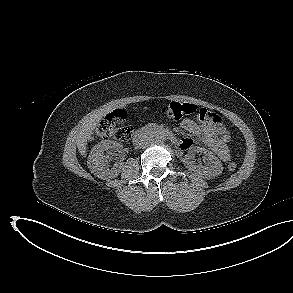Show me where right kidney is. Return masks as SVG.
Segmentation results:
<instances>
[{"mask_svg": "<svg viewBox=\"0 0 293 293\" xmlns=\"http://www.w3.org/2000/svg\"><path fill=\"white\" fill-rule=\"evenodd\" d=\"M121 148L122 145L120 143L108 140L101 141L95 145L92 148L87 161L91 173L100 179L115 178L118 176L121 172L123 163L116 162L113 168L109 169L107 165L109 156H105L104 152L108 149L119 151Z\"/></svg>", "mask_w": 293, "mask_h": 293, "instance_id": "ca27d5eb", "label": "right kidney"}]
</instances>
